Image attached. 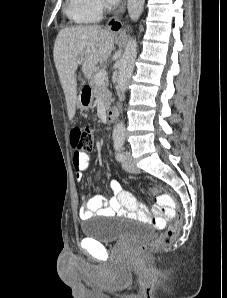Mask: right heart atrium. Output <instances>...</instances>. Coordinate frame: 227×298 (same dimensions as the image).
Here are the masks:
<instances>
[{
    "label": "right heart atrium",
    "instance_id": "1",
    "mask_svg": "<svg viewBox=\"0 0 227 298\" xmlns=\"http://www.w3.org/2000/svg\"><path fill=\"white\" fill-rule=\"evenodd\" d=\"M88 6L96 13H100L104 8L103 0H85Z\"/></svg>",
    "mask_w": 227,
    "mask_h": 298
}]
</instances>
